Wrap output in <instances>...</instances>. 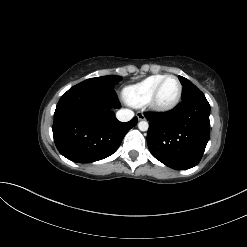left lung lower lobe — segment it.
I'll return each instance as SVG.
<instances>
[{
  "label": "left lung lower lobe",
  "mask_w": 247,
  "mask_h": 247,
  "mask_svg": "<svg viewBox=\"0 0 247 247\" xmlns=\"http://www.w3.org/2000/svg\"><path fill=\"white\" fill-rule=\"evenodd\" d=\"M152 155L173 169H189L202 158L210 136V105L201 91L164 113L147 112Z\"/></svg>",
  "instance_id": "obj_1"
}]
</instances>
